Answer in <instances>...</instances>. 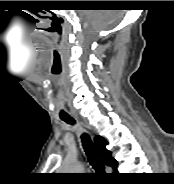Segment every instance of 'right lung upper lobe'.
<instances>
[{"mask_svg": "<svg viewBox=\"0 0 174 184\" xmlns=\"http://www.w3.org/2000/svg\"><path fill=\"white\" fill-rule=\"evenodd\" d=\"M94 142H95V146L98 151V154L100 155L104 163L107 166H110L114 170H116L117 161L111 157V152L105 148V146L107 145V141L101 136H96Z\"/></svg>", "mask_w": 174, "mask_h": 184, "instance_id": "cb5924a9", "label": "right lung upper lobe"}]
</instances>
